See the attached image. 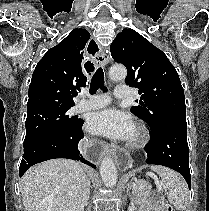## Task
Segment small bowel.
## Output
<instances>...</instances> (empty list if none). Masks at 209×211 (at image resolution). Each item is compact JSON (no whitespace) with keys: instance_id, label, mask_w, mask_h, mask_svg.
I'll return each instance as SVG.
<instances>
[{"instance_id":"c3829d8e","label":"small bowel","mask_w":209,"mask_h":211,"mask_svg":"<svg viewBox=\"0 0 209 211\" xmlns=\"http://www.w3.org/2000/svg\"><path fill=\"white\" fill-rule=\"evenodd\" d=\"M139 211H165L163 196L158 192L152 193Z\"/></svg>"}]
</instances>
